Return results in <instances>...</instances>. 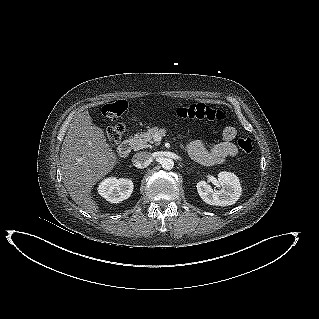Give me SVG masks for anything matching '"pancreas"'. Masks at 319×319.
<instances>
[{
  "instance_id": "obj_1",
  "label": "pancreas",
  "mask_w": 319,
  "mask_h": 319,
  "mask_svg": "<svg viewBox=\"0 0 319 319\" xmlns=\"http://www.w3.org/2000/svg\"><path fill=\"white\" fill-rule=\"evenodd\" d=\"M159 133L161 136L165 135V128L152 127L147 130V132L135 134L132 138V148L137 151L143 148H147L148 143L154 141L155 134Z\"/></svg>"
}]
</instances>
